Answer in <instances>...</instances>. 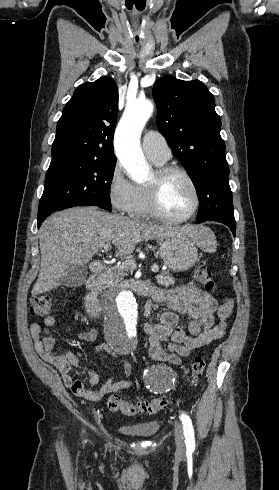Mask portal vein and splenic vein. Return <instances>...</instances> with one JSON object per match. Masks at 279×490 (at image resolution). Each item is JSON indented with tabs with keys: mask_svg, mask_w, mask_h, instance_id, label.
<instances>
[{
	"mask_svg": "<svg viewBox=\"0 0 279 490\" xmlns=\"http://www.w3.org/2000/svg\"><path fill=\"white\" fill-rule=\"evenodd\" d=\"M108 248H110L109 244H107V246H104V250H108ZM126 266H131L132 262L131 260H128V262H125ZM152 272H158L159 268L158 266H152L151 268Z\"/></svg>",
	"mask_w": 279,
	"mask_h": 490,
	"instance_id": "1",
	"label": "portal vein and splenic vein"
}]
</instances>
